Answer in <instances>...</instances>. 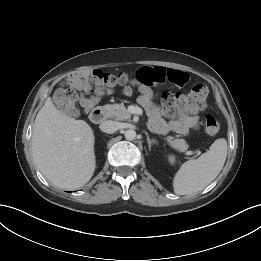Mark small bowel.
<instances>
[{
	"mask_svg": "<svg viewBox=\"0 0 261 261\" xmlns=\"http://www.w3.org/2000/svg\"><path fill=\"white\" fill-rule=\"evenodd\" d=\"M86 76V75H82ZM82 76H72L69 78L79 90L82 91L80 96V104L85 110L92 109L98 102L94 96H87V87L82 82ZM137 79L139 80V103L146 109L150 116V121L153 127L160 133L173 131L180 135H188L190 131L199 128L200 120L195 113H178L169 115L168 112L151 100L150 86L172 83L177 86H183L189 81V74L187 72L165 68L162 66H148L142 67L137 71ZM124 94L131 95L132 87H125Z\"/></svg>",
	"mask_w": 261,
	"mask_h": 261,
	"instance_id": "1",
	"label": "small bowel"
}]
</instances>
